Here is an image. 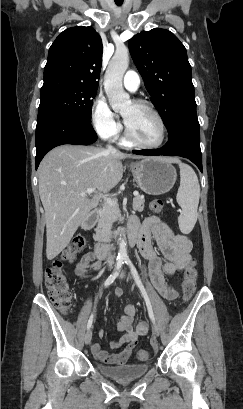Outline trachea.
I'll return each instance as SVG.
<instances>
[{"label":"trachea","mask_w":243,"mask_h":409,"mask_svg":"<svg viewBox=\"0 0 243 409\" xmlns=\"http://www.w3.org/2000/svg\"><path fill=\"white\" fill-rule=\"evenodd\" d=\"M116 5L121 6L123 3V0H115Z\"/></svg>","instance_id":"trachea-1"}]
</instances>
